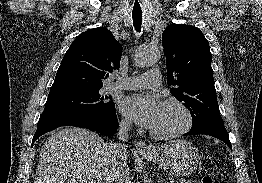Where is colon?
Returning a JSON list of instances; mask_svg holds the SVG:
<instances>
[{"mask_svg": "<svg viewBox=\"0 0 262 183\" xmlns=\"http://www.w3.org/2000/svg\"><path fill=\"white\" fill-rule=\"evenodd\" d=\"M201 183H218L213 177L206 175L201 179Z\"/></svg>", "mask_w": 262, "mask_h": 183, "instance_id": "1", "label": "colon"}]
</instances>
